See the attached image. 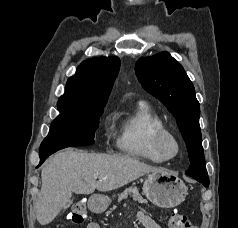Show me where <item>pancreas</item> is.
Returning a JSON list of instances; mask_svg holds the SVG:
<instances>
[{
    "instance_id": "cf45deb5",
    "label": "pancreas",
    "mask_w": 238,
    "mask_h": 228,
    "mask_svg": "<svg viewBox=\"0 0 238 228\" xmlns=\"http://www.w3.org/2000/svg\"><path fill=\"white\" fill-rule=\"evenodd\" d=\"M129 195H132L133 199L135 201H138L139 203H147V201L139 194V190L137 187H129L126 188L118 197V202L122 201L123 199L128 198ZM116 209V206L114 205L113 208H111V211Z\"/></svg>"
}]
</instances>
